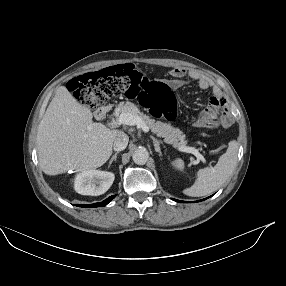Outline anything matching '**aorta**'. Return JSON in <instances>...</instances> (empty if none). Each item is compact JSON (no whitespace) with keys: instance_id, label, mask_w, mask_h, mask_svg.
Wrapping results in <instances>:
<instances>
[{"instance_id":"762f6f07","label":"aorta","mask_w":286,"mask_h":286,"mask_svg":"<svg viewBox=\"0 0 286 286\" xmlns=\"http://www.w3.org/2000/svg\"><path fill=\"white\" fill-rule=\"evenodd\" d=\"M132 158L136 164L144 165L149 158V153L146 148H138L134 151Z\"/></svg>"}]
</instances>
